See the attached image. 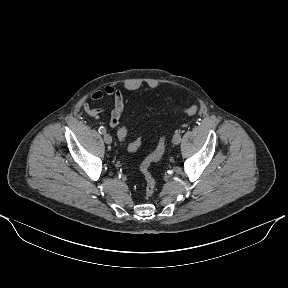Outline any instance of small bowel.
Returning <instances> with one entry per match:
<instances>
[{
	"label": "small bowel",
	"mask_w": 288,
	"mask_h": 288,
	"mask_svg": "<svg viewBox=\"0 0 288 288\" xmlns=\"http://www.w3.org/2000/svg\"><path fill=\"white\" fill-rule=\"evenodd\" d=\"M104 96H108L113 100V108L110 113L109 124L111 128L117 130V135L119 136L120 131L123 128V126L119 125L120 118L125 113L124 95L119 88L112 85H108L103 89L96 90L95 92H93V94L91 95V100L93 103H96L100 101ZM84 109L91 116H97L102 111L101 108H95L88 102L84 104Z\"/></svg>",
	"instance_id": "small-bowel-1"
}]
</instances>
